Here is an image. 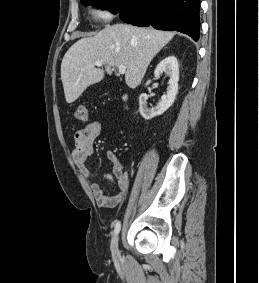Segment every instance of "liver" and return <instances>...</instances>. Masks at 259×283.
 Masks as SVG:
<instances>
[{
  "label": "liver",
  "mask_w": 259,
  "mask_h": 283,
  "mask_svg": "<svg viewBox=\"0 0 259 283\" xmlns=\"http://www.w3.org/2000/svg\"><path fill=\"white\" fill-rule=\"evenodd\" d=\"M175 33L126 24L108 26L92 37H84L66 52L61 63V80L67 103H72L89 87L100 82L104 73L125 66V81L135 89L147 67ZM102 60L105 71L95 68Z\"/></svg>",
  "instance_id": "1"
}]
</instances>
